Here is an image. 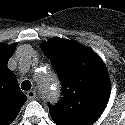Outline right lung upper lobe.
<instances>
[{
    "label": "right lung upper lobe",
    "instance_id": "1",
    "mask_svg": "<svg viewBox=\"0 0 125 125\" xmlns=\"http://www.w3.org/2000/svg\"><path fill=\"white\" fill-rule=\"evenodd\" d=\"M15 49V44H0V125H9L13 122L27 100L18 86L14 73L7 67Z\"/></svg>",
    "mask_w": 125,
    "mask_h": 125
}]
</instances>
